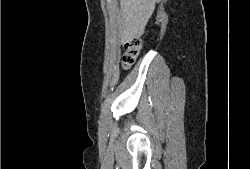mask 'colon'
Returning a JSON list of instances; mask_svg holds the SVG:
<instances>
[{"label": "colon", "instance_id": "obj_1", "mask_svg": "<svg viewBox=\"0 0 250 169\" xmlns=\"http://www.w3.org/2000/svg\"><path fill=\"white\" fill-rule=\"evenodd\" d=\"M142 49L143 40L140 37L135 36L128 39L122 52V67L124 69L130 68L142 52Z\"/></svg>", "mask_w": 250, "mask_h": 169}]
</instances>
